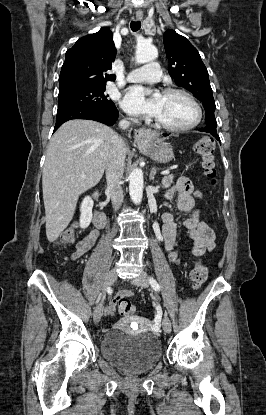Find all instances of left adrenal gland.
I'll list each match as a JSON object with an SVG mask.
<instances>
[{
	"label": "left adrenal gland",
	"instance_id": "left-adrenal-gland-1",
	"mask_svg": "<svg viewBox=\"0 0 266 415\" xmlns=\"http://www.w3.org/2000/svg\"><path fill=\"white\" fill-rule=\"evenodd\" d=\"M155 174H156V169H152L150 172V181H153L155 178Z\"/></svg>",
	"mask_w": 266,
	"mask_h": 415
}]
</instances>
